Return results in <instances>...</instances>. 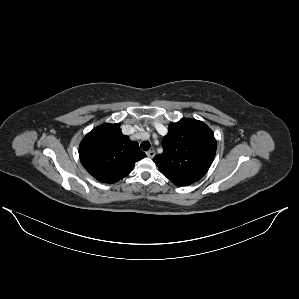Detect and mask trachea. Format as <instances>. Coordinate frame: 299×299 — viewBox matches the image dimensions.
Returning <instances> with one entry per match:
<instances>
[{
  "label": "trachea",
  "instance_id": "1",
  "mask_svg": "<svg viewBox=\"0 0 299 299\" xmlns=\"http://www.w3.org/2000/svg\"><path fill=\"white\" fill-rule=\"evenodd\" d=\"M140 146H141L142 150H144V151H148L151 147V145L148 141L142 142Z\"/></svg>",
  "mask_w": 299,
  "mask_h": 299
}]
</instances>
